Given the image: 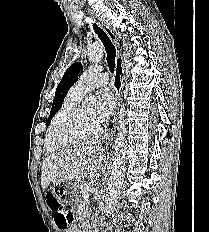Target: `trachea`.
I'll return each mask as SVG.
<instances>
[{
    "label": "trachea",
    "mask_w": 209,
    "mask_h": 232,
    "mask_svg": "<svg viewBox=\"0 0 209 232\" xmlns=\"http://www.w3.org/2000/svg\"><path fill=\"white\" fill-rule=\"evenodd\" d=\"M92 25L94 32L98 35V38L105 47L108 67L110 72L113 73L115 69L116 48L102 28L98 27L96 23H93Z\"/></svg>",
    "instance_id": "obj_1"
}]
</instances>
